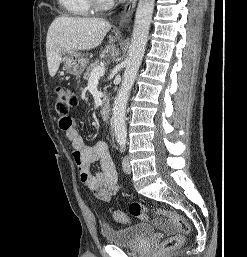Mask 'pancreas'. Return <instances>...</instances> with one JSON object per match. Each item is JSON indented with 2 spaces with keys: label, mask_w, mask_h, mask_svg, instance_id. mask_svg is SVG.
Wrapping results in <instances>:
<instances>
[{
  "label": "pancreas",
  "mask_w": 247,
  "mask_h": 257,
  "mask_svg": "<svg viewBox=\"0 0 247 257\" xmlns=\"http://www.w3.org/2000/svg\"><path fill=\"white\" fill-rule=\"evenodd\" d=\"M99 66V63L98 62H95V63H92L87 69H86V72L83 74V78L85 80H89L90 78V75H91V72L93 71V69L95 67ZM104 96L106 95V92L104 91Z\"/></svg>",
  "instance_id": "cf45deb5"
}]
</instances>
